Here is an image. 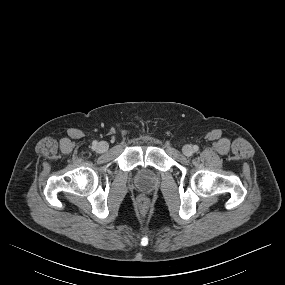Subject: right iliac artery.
<instances>
[{
	"label": "right iliac artery",
	"instance_id": "right-iliac-artery-1",
	"mask_svg": "<svg viewBox=\"0 0 285 285\" xmlns=\"http://www.w3.org/2000/svg\"><path fill=\"white\" fill-rule=\"evenodd\" d=\"M92 145H93V148H96V146H97V141H93Z\"/></svg>",
	"mask_w": 285,
	"mask_h": 285
}]
</instances>
